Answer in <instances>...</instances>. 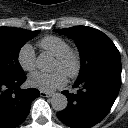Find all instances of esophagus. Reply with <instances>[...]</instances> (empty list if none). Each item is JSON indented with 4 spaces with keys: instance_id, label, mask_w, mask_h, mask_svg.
<instances>
[{
    "instance_id": "34e87169",
    "label": "esophagus",
    "mask_w": 128,
    "mask_h": 128,
    "mask_svg": "<svg viewBox=\"0 0 128 128\" xmlns=\"http://www.w3.org/2000/svg\"><path fill=\"white\" fill-rule=\"evenodd\" d=\"M40 95L43 96V97H51L53 95V93L40 91Z\"/></svg>"
}]
</instances>
